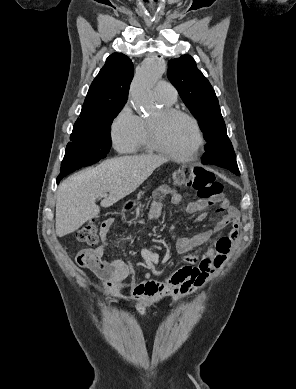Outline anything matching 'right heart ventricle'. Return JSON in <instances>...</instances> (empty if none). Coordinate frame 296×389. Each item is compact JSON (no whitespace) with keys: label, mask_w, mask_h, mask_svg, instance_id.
<instances>
[{"label":"right heart ventricle","mask_w":296,"mask_h":389,"mask_svg":"<svg viewBox=\"0 0 296 389\" xmlns=\"http://www.w3.org/2000/svg\"><path fill=\"white\" fill-rule=\"evenodd\" d=\"M162 102L165 104V106H172L174 103L163 99ZM140 122H141L140 134H139L136 147L133 151L138 153L151 152L153 149L151 148L148 140L147 121L140 118Z\"/></svg>","instance_id":"obj_1"}]
</instances>
